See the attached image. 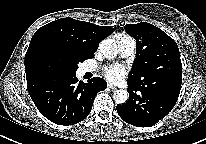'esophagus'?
I'll use <instances>...</instances> for the list:
<instances>
[{"label": "esophagus", "mask_w": 206, "mask_h": 144, "mask_svg": "<svg viewBox=\"0 0 206 144\" xmlns=\"http://www.w3.org/2000/svg\"><path fill=\"white\" fill-rule=\"evenodd\" d=\"M108 88L111 90H115L117 89L116 86L112 85V84H108Z\"/></svg>", "instance_id": "1"}]
</instances>
